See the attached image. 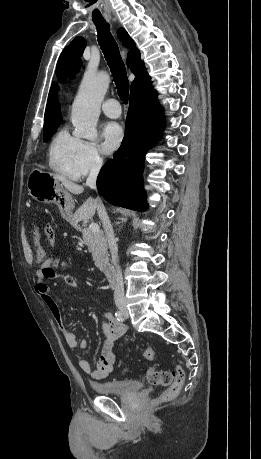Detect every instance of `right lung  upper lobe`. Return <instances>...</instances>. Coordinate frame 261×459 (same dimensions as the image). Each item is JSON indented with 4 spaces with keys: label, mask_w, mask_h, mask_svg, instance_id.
I'll return each instance as SVG.
<instances>
[{
    "label": "right lung upper lobe",
    "mask_w": 261,
    "mask_h": 459,
    "mask_svg": "<svg viewBox=\"0 0 261 459\" xmlns=\"http://www.w3.org/2000/svg\"><path fill=\"white\" fill-rule=\"evenodd\" d=\"M118 37L123 42V45L126 47H132L128 52L127 64L135 74V79L131 85V94L134 96L136 94L145 92L152 88L151 78L147 74L144 63L140 59V52L135 47L134 41L129 37L127 32L124 29H119ZM58 86L53 84L48 96V102L45 111L44 125L45 124H56L60 123L62 118L60 115V106L56 97V91Z\"/></svg>",
    "instance_id": "cb5924a9"
}]
</instances>
